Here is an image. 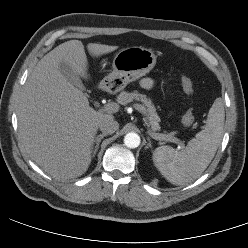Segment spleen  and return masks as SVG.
I'll return each mask as SVG.
<instances>
[{
  "label": "spleen",
  "instance_id": "3e777b00",
  "mask_svg": "<svg viewBox=\"0 0 248 248\" xmlns=\"http://www.w3.org/2000/svg\"><path fill=\"white\" fill-rule=\"evenodd\" d=\"M225 112L221 99L209 110L203 130L181 150L161 146L153 152V162L170 183L185 185L201 176L208 167L221 142Z\"/></svg>",
  "mask_w": 248,
  "mask_h": 248
}]
</instances>
